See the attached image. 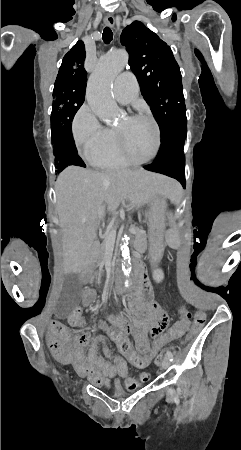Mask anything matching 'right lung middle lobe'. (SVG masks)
Listing matches in <instances>:
<instances>
[{"label": "right lung middle lobe", "instance_id": "right-lung-middle-lobe-1", "mask_svg": "<svg viewBox=\"0 0 241 450\" xmlns=\"http://www.w3.org/2000/svg\"><path fill=\"white\" fill-rule=\"evenodd\" d=\"M85 89L84 86L72 83H55L54 85L51 132L55 144L54 156L57 173L70 165L65 151L73 142L71 121L84 102Z\"/></svg>", "mask_w": 241, "mask_h": 450}]
</instances>
